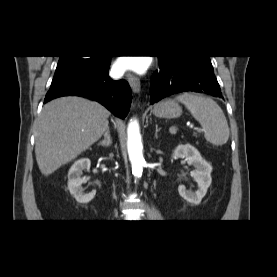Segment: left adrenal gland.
Here are the masks:
<instances>
[{
    "mask_svg": "<svg viewBox=\"0 0 277 277\" xmlns=\"http://www.w3.org/2000/svg\"><path fill=\"white\" fill-rule=\"evenodd\" d=\"M161 130V128H158L156 125V130H155V137L158 138V132Z\"/></svg>",
    "mask_w": 277,
    "mask_h": 277,
    "instance_id": "1",
    "label": "left adrenal gland"
}]
</instances>
